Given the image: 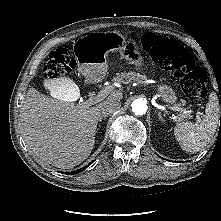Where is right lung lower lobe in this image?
<instances>
[{"label":"right lung lower lobe","instance_id":"obj_1","mask_svg":"<svg viewBox=\"0 0 221 221\" xmlns=\"http://www.w3.org/2000/svg\"><path fill=\"white\" fill-rule=\"evenodd\" d=\"M94 161H92L91 163H89L87 166L79 169V170H76V171H72V172H69V173H66V174H75V173H79V172H82L84 169H86L89 165H91Z\"/></svg>","mask_w":221,"mask_h":221}]
</instances>
